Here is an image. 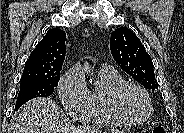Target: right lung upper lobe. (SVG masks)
Returning a JSON list of instances; mask_svg holds the SVG:
<instances>
[{"label":"right lung upper lobe","instance_id":"right-lung-upper-lobe-1","mask_svg":"<svg viewBox=\"0 0 184 133\" xmlns=\"http://www.w3.org/2000/svg\"><path fill=\"white\" fill-rule=\"evenodd\" d=\"M65 40L63 30H48L27 59L20 80H47L60 76L66 54Z\"/></svg>","mask_w":184,"mask_h":133}]
</instances>
